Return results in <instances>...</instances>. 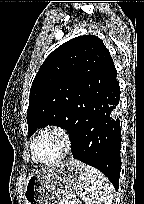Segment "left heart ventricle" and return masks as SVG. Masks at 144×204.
I'll list each match as a JSON object with an SVG mask.
<instances>
[{
    "label": "left heart ventricle",
    "instance_id": "1",
    "mask_svg": "<svg viewBox=\"0 0 144 204\" xmlns=\"http://www.w3.org/2000/svg\"><path fill=\"white\" fill-rule=\"evenodd\" d=\"M64 150V143L60 136L55 133H47L41 136L35 147L36 157L43 162L51 161Z\"/></svg>",
    "mask_w": 144,
    "mask_h": 204
}]
</instances>
